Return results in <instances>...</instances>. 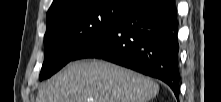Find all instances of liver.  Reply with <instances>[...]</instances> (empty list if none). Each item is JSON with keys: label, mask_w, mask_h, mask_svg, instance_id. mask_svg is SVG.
Here are the masks:
<instances>
[{"label": "liver", "mask_w": 221, "mask_h": 102, "mask_svg": "<svg viewBox=\"0 0 221 102\" xmlns=\"http://www.w3.org/2000/svg\"><path fill=\"white\" fill-rule=\"evenodd\" d=\"M159 85L103 60L70 63L44 84L36 102H148Z\"/></svg>", "instance_id": "1"}]
</instances>
